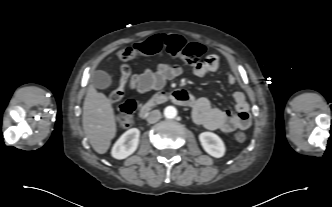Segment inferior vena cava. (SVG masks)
Here are the masks:
<instances>
[{
	"mask_svg": "<svg viewBox=\"0 0 332 207\" xmlns=\"http://www.w3.org/2000/svg\"><path fill=\"white\" fill-rule=\"evenodd\" d=\"M161 118V113L159 110L151 111L147 116V121L151 124L157 122Z\"/></svg>",
	"mask_w": 332,
	"mask_h": 207,
	"instance_id": "obj_1",
	"label": "inferior vena cava"
}]
</instances>
